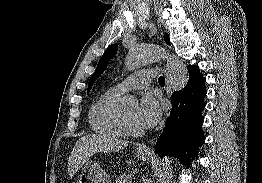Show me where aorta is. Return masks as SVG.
<instances>
[{"label": "aorta", "instance_id": "obj_1", "mask_svg": "<svg viewBox=\"0 0 262 183\" xmlns=\"http://www.w3.org/2000/svg\"><path fill=\"white\" fill-rule=\"evenodd\" d=\"M162 58L167 60L168 82L173 91L182 90L188 83L189 74L185 63L175 55L166 54L164 49L158 45L144 47H133L126 57V67L128 70H136L142 66L157 62ZM137 100L134 96L126 95L123 98L125 107L134 106ZM170 171V161L165 158L159 165L161 176H165Z\"/></svg>", "mask_w": 262, "mask_h": 183}]
</instances>
